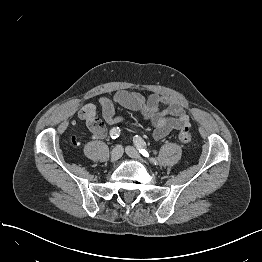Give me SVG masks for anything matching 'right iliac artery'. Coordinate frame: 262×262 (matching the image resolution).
<instances>
[{
  "instance_id": "82829eb1",
  "label": "right iliac artery",
  "mask_w": 262,
  "mask_h": 262,
  "mask_svg": "<svg viewBox=\"0 0 262 262\" xmlns=\"http://www.w3.org/2000/svg\"><path fill=\"white\" fill-rule=\"evenodd\" d=\"M119 134H120L119 127H114L110 130V136L112 137V139H116L117 137H119Z\"/></svg>"
}]
</instances>
